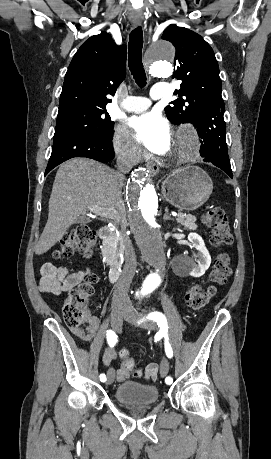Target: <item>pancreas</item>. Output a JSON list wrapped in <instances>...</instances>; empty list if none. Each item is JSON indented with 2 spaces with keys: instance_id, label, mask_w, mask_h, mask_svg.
<instances>
[{
  "instance_id": "pancreas-1",
  "label": "pancreas",
  "mask_w": 271,
  "mask_h": 459,
  "mask_svg": "<svg viewBox=\"0 0 271 459\" xmlns=\"http://www.w3.org/2000/svg\"><path fill=\"white\" fill-rule=\"evenodd\" d=\"M183 215H184L183 217H177V222H179V224H182L184 228L197 229V226L195 224L196 222L195 216H191V214H188V216H186V214H183ZM118 241L119 239H116L115 245H118ZM111 249H117V247H111ZM106 251H108V249H105V253Z\"/></svg>"
}]
</instances>
